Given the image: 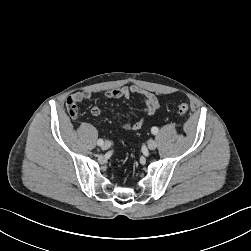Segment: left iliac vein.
Returning <instances> with one entry per match:
<instances>
[{
	"label": "left iliac vein",
	"instance_id": "obj_1",
	"mask_svg": "<svg viewBox=\"0 0 251 251\" xmlns=\"http://www.w3.org/2000/svg\"><path fill=\"white\" fill-rule=\"evenodd\" d=\"M157 147V142L155 140H149L148 141V148L150 150H155Z\"/></svg>",
	"mask_w": 251,
	"mask_h": 251
}]
</instances>
